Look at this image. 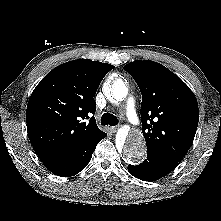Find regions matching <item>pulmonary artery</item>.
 <instances>
[{"instance_id":"e3ab8cb5","label":"pulmonary artery","mask_w":221,"mask_h":221,"mask_svg":"<svg viewBox=\"0 0 221 221\" xmlns=\"http://www.w3.org/2000/svg\"><path fill=\"white\" fill-rule=\"evenodd\" d=\"M125 112H126V115H127L128 119H129V121L133 125H139L140 119H139V117H138V115L136 113L133 99H130L127 102L126 108H125Z\"/></svg>"}]
</instances>
